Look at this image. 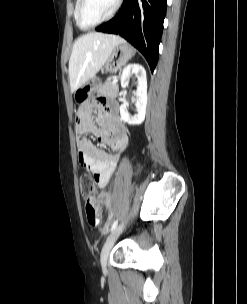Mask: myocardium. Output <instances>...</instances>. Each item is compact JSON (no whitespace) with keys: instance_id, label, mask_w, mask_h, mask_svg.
Instances as JSON below:
<instances>
[{"instance_id":"1","label":"myocardium","mask_w":247,"mask_h":304,"mask_svg":"<svg viewBox=\"0 0 247 304\" xmlns=\"http://www.w3.org/2000/svg\"><path fill=\"white\" fill-rule=\"evenodd\" d=\"M85 2L86 0H79V3H78V8H77V23H78V26L81 28V29H92V28H95V27H98L99 25L105 23V22H108L110 21L112 18L115 17V15L118 13V11L120 10L121 8V5L123 3V0H117L116 2V5H115V8L113 9V11L107 16L105 17L104 19H102L101 21L93 24V25H86L84 24L83 22V18H82V11H83V7L85 5Z\"/></svg>"}]
</instances>
